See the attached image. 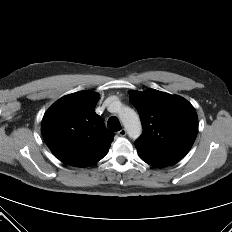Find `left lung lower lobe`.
I'll return each instance as SVG.
<instances>
[{"label":"left lung lower lobe","mask_w":232,"mask_h":232,"mask_svg":"<svg viewBox=\"0 0 232 232\" xmlns=\"http://www.w3.org/2000/svg\"><path fill=\"white\" fill-rule=\"evenodd\" d=\"M140 158L147 164L157 167V168L170 166L172 164H175L179 160L175 158H171V159H149V158H144V157H140Z\"/></svg>","instance_id":"0a47b994"}]
</instances>
